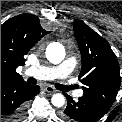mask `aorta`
I'll list each match as a JSON object with an SVG mask.
<instances>
[{"mask_svg":"<svg viewBox=\"0 0 122 122\" xmlns=\"http://www.w3.org/2000/svg\"><path fill=\"white\" fill-rule=\"evenodd\" d=\"M46 57L51 63H60L65 58V49L60 43H51L46 49ZM51 102L55 107H62L65 104V97L60 93L54 94Z\"/></svg>","mask_w":122,"mask_h":122,"instance_id":"aorta-1","label":"aorta"}]
</instances>
